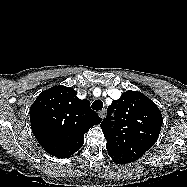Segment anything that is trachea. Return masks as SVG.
<instances>
[{"label": "trachea", "instance_id": "obj_1", "mask_svg": "<svg viewBox=\"0 0 187 187\" xmlns=\"http://www.w3.org/2000/svg\"><path fill=\"white\" fill-rule=\"evenodd\" d=\"M91 107L96 110V111H99L103 108V102L101 100H95Z\"/></svg>", "mask_w": 187, "mask_h": 187}]
</instances>
